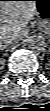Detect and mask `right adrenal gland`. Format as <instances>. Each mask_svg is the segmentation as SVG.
Here are the masks:
<instances>
[{
	"label": "right adrenal gland",
	"mask_w": 50,
	"mask_h": 111,
	"mask_svg": "<svg viewBox=\"0 0 50 111\" xmlns=\"http://www.w3.org/2000/svg\"><path fill=\"white\" fill-rule=\"evenodd\" d=\"M5 50V54L4 55H7V51H8V46L4 45L2 48H1V51Z\"/></svg>",
	"instance_id": "right-adrenal-gland-1"
}]
</instances>
